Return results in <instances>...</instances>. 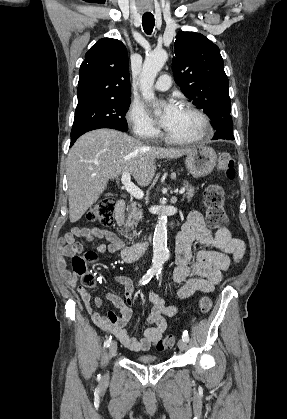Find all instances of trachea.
Here are the masks:
<instances>
[{"label":"trachea","mask_w":287,"mask_h":419,"mask_svg":"<svg viewBox=\"0 0 287 419\" xmlns=\"http://www.w3.org/2000/svg\"><path fill=\"white\" fill-rule=\"evenodd\" d=\"M142 25L146 34H151L155 25L154 16L151 13L144 14L142 17Z\"/></svg>","instance_id":"trachea-1"}]
</instances>
